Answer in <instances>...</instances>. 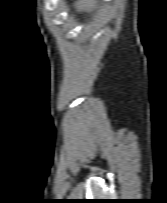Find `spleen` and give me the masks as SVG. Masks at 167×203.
Returning <instances> with one entry per match:
<instances>
[{"mask_svg": "<svg viewBox=\"0 0 167 203\" xmlns=\"http://www.w3.org/2000/svg\"><path fill=\"white\" fill-rule=\"evenodd\" d=\"M90 4V7H88V5ZM95 2H90L89 0H79L75 6L78 9V11H84V10H90L91 8L95 7Z\"/></svg>", "mask_w": 167, "mask_h": 203, "instance_id": "obj_1", "label": "spleen"}]
</instances>
